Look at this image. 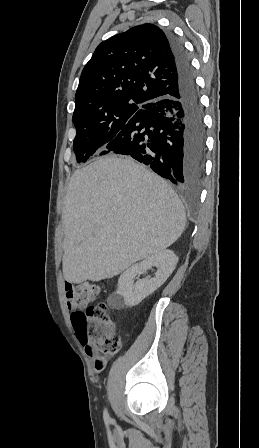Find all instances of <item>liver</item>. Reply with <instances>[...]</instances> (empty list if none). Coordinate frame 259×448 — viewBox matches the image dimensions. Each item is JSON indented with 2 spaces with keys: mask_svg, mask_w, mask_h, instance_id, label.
I'll return each mask as SVG.
<instances>
[{
  "mask_svg": "<svg viewBox=\"0 0 259 448\" xmlns=\"http://www.w3.org/2000/svg\"><path fill=\"white\" fill-rule=\"evenodd\" d=\"M63 276L100 282L162 252L180 238L185 208L157 174L126 156H104L76 170L64 212Z\"/></svg>",
  "mask_w": 259,
  "mask_h": 448,
  "instance_id": "6515ba94",
  "label": "liver"
}]
</instances>
